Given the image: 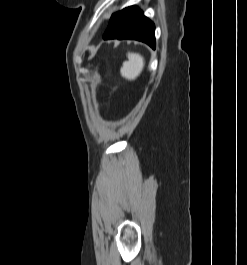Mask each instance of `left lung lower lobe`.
Returning <instances> with one entry per match:
<instances>
[{
  "instance_id": "obj_1",
  "label": "left lung lower lobe",
  "mask_w": 247,
  "mask_h": 265,
  "mask_svg": "<svg viewBox=\"0 0 247 265\" xmlns=\"http://www.w3.org/2000/svg\"><path fill=\"white\" fill-rule=\"evenodd\" d=\"M155 27L136 6L127 7L112 15L104 39H135L155 48Z\"/></svg>"
}]
</instances>
